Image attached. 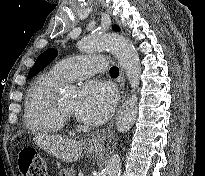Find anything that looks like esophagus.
<instances>
[{
	"instance_id": "obj_1",
	"label": "esophagus",
	"mask_w": 205,
	"mask_h": 176,
	"mask_svg": "<svg viewBox=\"0 0 205 176\" xmlns=\"http://www.w3.org/2000/svg\"><path fill=\"white\" fill-rule=\"evenodd\" d=\"M119 86H120L121 97L123 99L124 90H125V76H124V72L122 68L120 69ZM115 120H116V116L113 117V119L111 120L110 124L107 126L106 129H104L102 132L98 133L97 135H95L88 141L87 146L88 147H101L104 141L106 140V138L108 137L115 123Z\"/></svg>"
}]
</instances>
